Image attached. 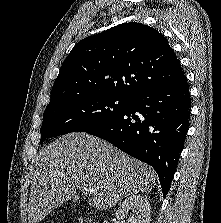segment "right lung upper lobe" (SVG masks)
<instances>
[{"label": "right lung upper lobe", "mask_w": 221, "mask_h": 223, "mask_svg": "<svg viewBox=\"0 0 221 223\" xmlns=\"http://www.w3.org/2000/svg\"><path fill=\"white\" fill-rule=\"evenodd\" d=\"M184 77L164 36L129 22L81 40L62 64L50 103L84 94L132 99Z\"/></svg>", "instance_id": "cb5924a9"}]
</instances>
